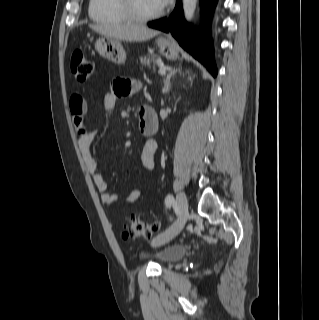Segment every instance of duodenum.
<instances>
[{
	"mask_svg": "<svg viewBox=\"0 0 319 320\" xmlns=\"http://www.w3.org/2000/svg\"><path fill=\"white\" fill-rule=\"evenodd\" d=\"M139 127L146 135L154 134L159 129L158 117L154 108L145 106L139 111Z\"/></svg>",
	"mask_w": 319,
	"mask_h": 320,
	"instance_id": "410a0bca",
	"label": "duodenum"
}]
</instances>
